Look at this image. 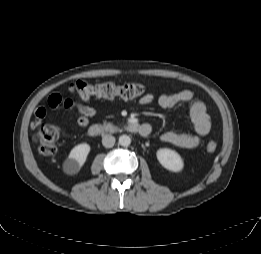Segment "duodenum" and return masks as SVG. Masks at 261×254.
I'll use <instances>...</instances> for the list:
<instances>
[{"mask_svg": "<svg viewBox=\"0 0 261 254\" xmlns=\"http://www.w3.org/2000/svg\"><path fill=\"white\" fill-rule=\"evenodd\" d=\"M132 133L139 134L141 136H146L151 132V126L139 124L137 122H129L125 124H94L88 129V134L90 136H99L104 134H118V133Z\"/></svg>", "mask_w": 261, "mask_h": 254, "instance_id": "1", "label": "duodenum"}]
</instances>
